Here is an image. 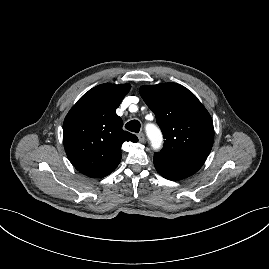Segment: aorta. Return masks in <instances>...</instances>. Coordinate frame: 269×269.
<instances>
[{
    "label": "aorta",
    "mask_w": 269,
    "mask_h": 269,
    "mask_svg": "<svg viewBox=\"0 0 269 269\" xmlns=\"http://www.w3.org/2000/svg\"><path fill=\"white\" fill-rule=\"evenodd\" d=\"M147 136L149 140L151 141L152 147L154 150H157L162 145V134L160 130L155 125H148L146 127Z\"/></svg>",
    "instance_id": "1"
}]
</instances>
